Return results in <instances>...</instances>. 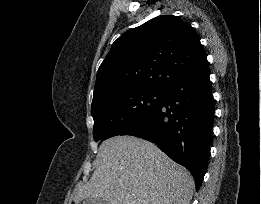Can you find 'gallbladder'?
Listing matches in <instances>:
<instances>
[{"mask_svg": "<svg viewBox=\"0 0 261 204\" xmlns=\"http://www.w3.org/2000/svg\"><path fill=\"white\" fill-rule=\"evenodd\" d=\"M82 204H108V202L102 199L87 198Z\"/></svg>", "mask_w": 261, "mask_h": 204, "instance_id": "obj_1", "label": "gallbladder"}]
</instances>
